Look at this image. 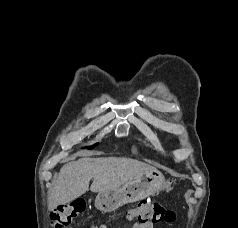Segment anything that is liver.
<instances>
[{
    "label": "liver",
    "mask_w": 238,
    "mask_h": 228,
    "mask_svg": "<svg viewBox=\"0 0 238 228\" xmlns=\"http://www.w3.org/2000/svg\"><path fill=\"white\" fill-rule=\"evenodd\" d=\"M154 167L141 161L122 157L90 158L84 157L65 164L54 183L48 198V209L53 210L66 204L89 190L104 192L117 189L136 176Z\"/></svg>",
    "instance_id": "6515ba94"
}]
</instances>
